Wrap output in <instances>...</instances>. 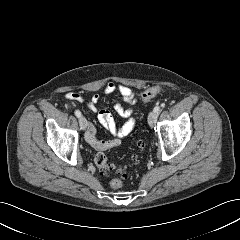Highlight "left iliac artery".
Here are the masks:
<instances>
[{
	"mask_svg": "<svg viewBox=\"0 0 240 240\" xmlns=\"http://www.w3.org/2000/svg\"><path fill=\"white\" fill-rule=\"evenodd\" d=\"M155 113L159 114L160 112V107L159 106H156L153 110Z\"/></svg>",
	"mask_w": 240,
	"mask_h": 240,
	"instance_id": "44dca946",
	"label": "left iliac artery"
}]
</instances>
